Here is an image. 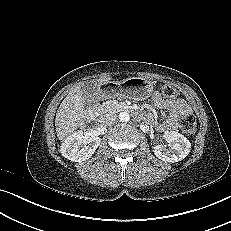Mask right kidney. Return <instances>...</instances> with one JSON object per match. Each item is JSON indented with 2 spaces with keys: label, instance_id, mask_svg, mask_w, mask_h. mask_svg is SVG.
Returning a JSON list of instances; mask_svg holds the SVG:
<instances>
[{
  "label": "right kidney",
  "instance_id": "ca27d5eb",
  "mask_svg": "<svg viewBox=\"0 0 231 231\" xmlns=\"http://www.w3.org/2000/svg\"><path fill=\"white\" fill-rule=\"evenodd\" d=\"M100 137L92 133L74 132L63 143L60 149L62 156L74 161L88 160L100 145Z\"/></svg>",
  "mask_w": 231,
  "mask_h": 231
}]
</instances>
